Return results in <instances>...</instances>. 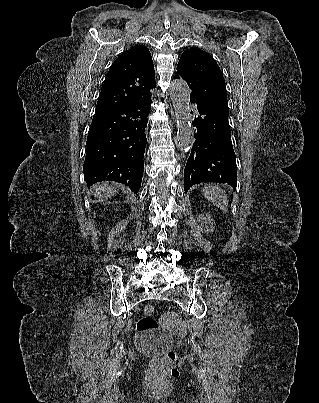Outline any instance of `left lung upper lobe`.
<instances>
[{"label": "left lung upper lobe", "instance_id": "obj_1", "mask_svg": "<svg viewBox=\"0 0 319 403\" xmlns=\"http://www.w3.org/2000/svg\"><path fill=\"white\" fill-rule=\"evenodd\" d=\"M176 76L185 79L192 91L227 97L225 80L219 66L208 53L200 49L190 48L183 52Z\"/></svg>", "mask_w": 319, "mask_h": 403}]
</instances>
